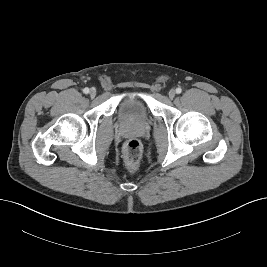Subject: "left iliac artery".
I'll return each mask as SVG.
<instances>
[{
  "mask_svg": "<svg viewBox=\"0 0 267 267\" xmlns=\"http://www.w3.org/2000/svg\"><path fill=\"white\" fill-rule=\"evenodd\" d=\"M182 92V89L180 88V87H178L177 89H176V93L177 94H180Z\"/></svg>",
  "mask_w": 267,
  "mask_h": 267,
  "instance_id": "1",
  "label": "left iliac artery"
}]
</instances>
